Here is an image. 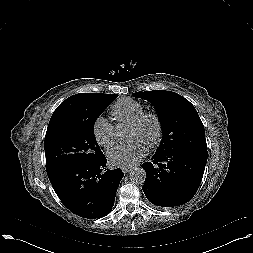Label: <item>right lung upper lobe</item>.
<instances>
[{"label": "right lung upper lobe", "instance_id": "1", "mask_svg": "<svg viewBox=\"0 0 253 253\" xmlns=\"http://www.w3.org/2000/svg\"><path fill=\"white\" fill-rule=\"evenodd\" d=\"M114 94L79 93L64 100L54 111L51 119L63 115H77L86 112L95 103L111 97Z\"/></svg>", "mask_w": 253, "mask_h": 253}]
</instances>
